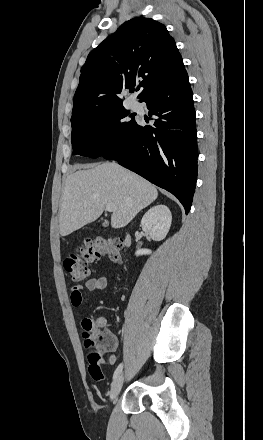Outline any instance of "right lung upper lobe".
Here are the masks:
<instances>
[{
	"instance_id": "cb5924a9",
	"label": "right lung upper lobe",
	"mask_w": 263,
	"mask_h": 440,
	"mask_svg": "<svg viewBox=\"0 0 263 440\" xmlns=\"http://www.w3.org/2000/svg\"><path fill=\"white\" fill-rule=\"evenodd\" d=\"M185 70L166 27L150 18L125 22L92 50L81 68L71 121L101 109L123 105L121 92L139 80L141 100Z\"/></svg>"
}]
</instances>
